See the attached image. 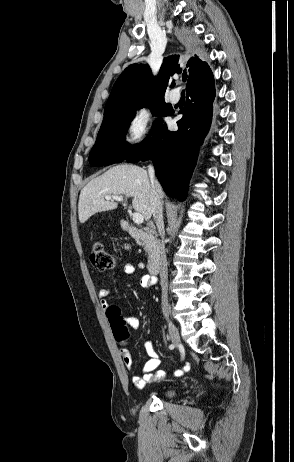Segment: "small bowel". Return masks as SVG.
Here are the masks:
<instances>
[{
	"label": "small bowel",
	"instance_id": "c3829d8e",
	"mask_svg": "<svg viewBox=\"0 0 294 462\" xmlns=\"http://www.w3.org/2000/svg\"><path fill=\"white\" fill-rule=\"evenodd\" d=\"M139 268H143L144 264L141 263L138 265ZM135 272V266L131 263L125 264L119 273L125 275H132ZM158 279L156 276L145 275L141 278V285L143 287L153 286L157 283ZM111 294V290L107 287L102 288L99 291V296L102 298V306L105 310L110 306V304L105 300ZM125 323L134 329L140 327V319L137 317H124ZM116 341L120 347L121 356L126 368L131 371L133 369V361L130 356V352L127 347L126 340H120L116 338ZM144 348L146 350L149 359L144 364L141 374L133 375L132 382L136 388H143L146 384L159 381L165 377V372L162 370H157L160 360L158 354L156 353L153 345L150 341H145ZM189 369V365L185 364L181 369L175 371L176 376L183 375ZM157 370V371H156Z\"/></svg>",
	"mask_w": 294,
	"mask_h": 462
}]
</instances>
